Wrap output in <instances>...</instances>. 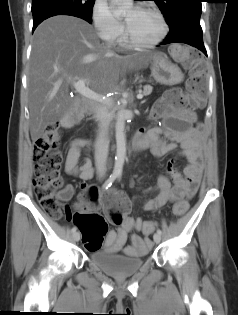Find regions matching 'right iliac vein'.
<instances>
[{
	"label": "right iliac vein",
	"mask_w": 238,
	"mask_h": 315,
	"mask_svg": "<svg viewBox=\"0 0 238 315\" xmlns=\"http://www.w3.org/2000/svg\"><path fill=\"white\" fill-rule=\"evenodd\" d=\"M73 239H74V241L78 242L80 240V233L79 232H74Z\"/></svg>",
	"instance_id": "63e3f726"
}]
</instances>
